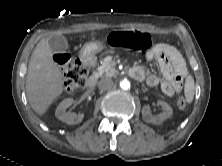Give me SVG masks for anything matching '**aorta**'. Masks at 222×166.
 <instances>
[{
	"label": "aorta",
	"instance_id": "762f6f07",
	"mask_svg": "<svg viewBox=\"0 0 222 166\" xmlns=\"http://www.w3.org/2000/svg\"><path fill=\"white\" fill-rule=\"evenodd\" d=\"M120 87L123 89V90H128L130 88V82L128 80H122L120 82Z\"/></svg>",
	"mask_w": 222,
	"mask_h": 166
}]
</instances>
